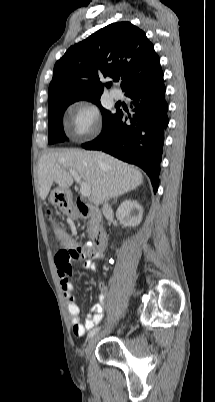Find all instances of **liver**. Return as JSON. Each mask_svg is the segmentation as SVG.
I'll return each instance as SVG.
<instances>
[{"mask_svg": "<svg viewBox=\"0 0 215 402\" xmlns=\"http://www.w3.org/2000/svg\"><path fill=\"white\" fill-rule=\"evenodd\" d=\"M72 169L91 187V200L98 206L110 198L129 192L143 182L139 170L106 153L65 150L44 154L38 166L39 194L45 200L53 182L69 189Z\"/></svg>", "mask_w": 215, "mask_h": 402, "instance_id": "obj_1", "label": "liver"}]
</instances>
